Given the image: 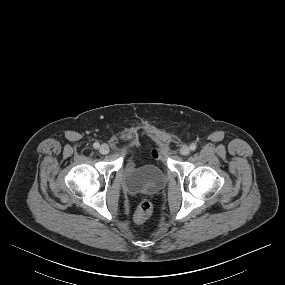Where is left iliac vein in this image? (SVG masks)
<instances>
[{"label":"left iliac vein","instance_id":"obj_1","mask_svg":"<svg viewBox=\"0 0 285 285\" xmlns=\"http://www.w3.org/2000/svg\"><path fill=\"white\" fill-rule=\"evenodd\" d=\"M190 153V148L188 146H182L180 149V154L183 156H187Z\"/></svg>","mask_w":285,"mask_h":285}]
</instances>
